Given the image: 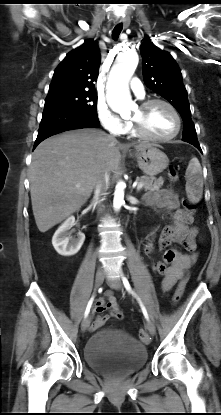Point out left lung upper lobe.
Listing matches in <instances>:
<instances>
[{
	"label": "left lung upper lobe",
	"mask_w": 221,
	"mask_h": 415,
	"mask_svg": "<svg viewBox=\"0 0 221 415\" xmlns=\"http://www.w3.org/2000/svg\"><path fill=\"white\" fill-rule=\"evenodd\" d=\"M140 51L146 86L169 101L180 113L184 122L182 136L196 135L182 74L173 57L156 47L147 36L142 40Z\"/></svg>",
	"instance_id": "obj_1"
}]
</instances>
